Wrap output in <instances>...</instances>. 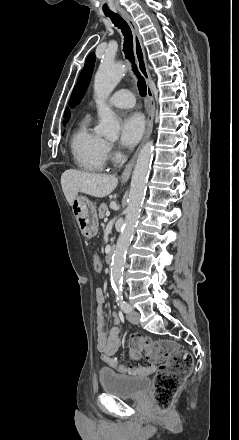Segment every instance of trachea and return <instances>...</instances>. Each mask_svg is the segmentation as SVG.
<instances>
[{"label": "trachea", "instance_id": "3493384b", "mask_svg": "<svg viewBox=\"0 0 239 440\" xmlns=\"http://www.w3.org/2000/svg\"><path fill=\"white\" fill-rule=\"evenodd\" d=\"M105 15L106 17H109L111 19L116 27L120 28L124 36L123 52L125 53V57L127 58V60H129L132 64V70L134 72V75H136L138 79L137 86L139 89V93L142 97H145V95L147 94V86L145 79L143 78V76L140 75L137 69V65L135 64L132 31L124 18L120 17L118 13H108Z\"/></svg>", "mask_w": 239, "mask_h": 440}]
</instances>
